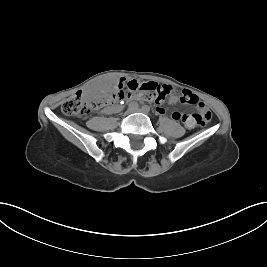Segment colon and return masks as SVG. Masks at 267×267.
<instances>
[{"instance_id":"5ec220e1","label":"colon","mask_w":267,"mask_h":267,"mask_svg":"<svg viewBox=\"0 0 267 267\" xmlns=\"http://www.w3.org/2000/svg\"><path fill=\"white\" fill-rule=\"evenodd\" d=\"M170 92L171 88L168 85L153 81L140 82L132 80L128 82L126 86L120 85L114 92L105 93L97 100H87L81 92H77L62 103L61 109L66 115L85 117L89 113L97 111L102 107L115 104L131 97H140L145 101L160 104L165 101ZM181 101L190 105H196L197 113L190 115V121L192 123L205 126L210 122L211 112L208 108L198 107V98L196 95L189 91H184L181 94Z\"/></svg>"}]
</instances>
